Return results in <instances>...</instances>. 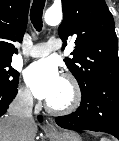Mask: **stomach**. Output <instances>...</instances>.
<instances>
[{
  "label": "stomach",
  "mask_w": 119,
  "mask_h": 141,
  "mask_svg": "<svg viewBox=\"0 0 119 141\" xmlns=\"http://www.w3.org/2000/svg\"><path fill=\"white\" fill-rule=\"evenodd\" d=\"M51 141H82V139L76 132L63 131L51 134Z\"/></svg>",
  "instance_id": "1"
}]
</instances>
